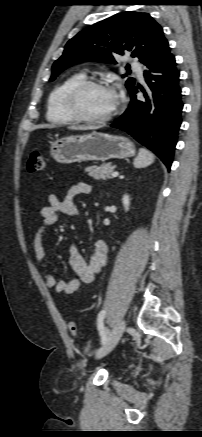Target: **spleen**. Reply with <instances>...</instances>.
<instances>
[{
    "mask_svg": "<svg viewBox=\"0 0 202 437\" xmlns=\"http://www.w3.org/2000/svg\"><path fill=\"white\" fill-rule=\"evenodd\" d=\"M155 160L154 155L147 149L141 148L137 157L134 159L135 168H146L151 165Z\"/></svg>",
    "mask_w": 202,
    "mask_h": 437,
    "instance_id": "1",
    "label": "spleen"
}]
</instances>
